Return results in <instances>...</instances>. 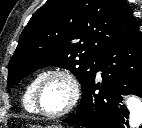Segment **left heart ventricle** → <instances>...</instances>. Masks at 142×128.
I'll use <instances>...</instances> for the list:
<instances>
[{"label":"left heart ventricle","mask_w":142,"mask_h":128,"mask_svg":"<svg viewBox=\"0 0 142 128\" xmlns=\"http://www.w3.org/2000/svg\"><path fill=\"white\" fill-rule=\"evenodd\" d=\"M70 95V86L63 77H48L41 86L40 106L49 113L59 112L69 103Z\"/></svg>","instance_id":"obj_1"}]
</instances>
